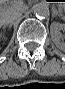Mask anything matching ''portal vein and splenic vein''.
Masks as SVG:
<instances>
[{
  "instance_id": "obj_1",
  "label": "portal vein and splenic vein",
  "mask_w": 65,
  "mask_h": 89,
  "mask_svg": "<svg viewBox=\"0 0 65 89\" xmlns=\"http://www.w3.org/2000/svg\"><path fill=\"white\" fill-rule=\"evenodd\" d=\"M18 4L22 5L23 4V1L19 0L18 1Z\"/></svg>"
}]
</instances>
